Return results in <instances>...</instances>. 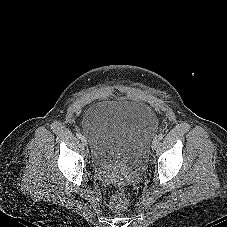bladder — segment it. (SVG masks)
<instances>
[{"instance_id":"obj_1","label":"bladder","mask_w":227,"mask_h":227,"mask_svg":"<svg viewBox=\"0 0 227 227\" xmlns=\"http://www.w3.org/2000/svg\"><path fill=\"white\" fill-rule=\"evenodd\" d=\"M158 127L148 106L132 100H103L90 106L82 118V130L91 141L97 170L125 164L142 167Z\"/></svg>"}]
</instances>
